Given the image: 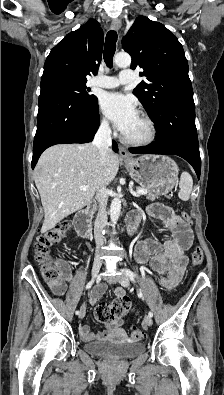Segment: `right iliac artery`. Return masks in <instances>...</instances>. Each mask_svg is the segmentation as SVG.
<instances>
[{
  "mask_svg": "<svg viewBox=\"0 0 224 395\" xmlns=\"http://www.w3.org/2000/svg\"><path fill=\"white\" fill-rule=\"evenodd\" d=\"M93 283H94V279H92L91 281H89L88 283H87V285H86V289H90L91 287H92V285H93ZM80 314V311H76V315H79Z\"/></svg>",
  "mask_w": 224,
  "mask_h": 395,
  "instance_id": "82829eb1",
  "label": "right iliac artery"
}]
</instances>
